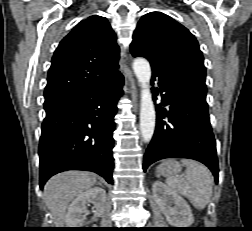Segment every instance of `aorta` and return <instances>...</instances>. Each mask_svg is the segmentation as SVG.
Instances as JSON below:
<instances>
[{"label": "aorta", "instance_id": "762f6f07", "mask_svg": "<svg viewBox=\"0 0 252 231\" xmlns=\"http://www.w3.org/2000/svg\"><path fill=\"white\" fill-rule=\"evenodd\" d=\"M133 70L141 84L140 131L144 142H149L154 134L156 112L149 87L151 67L144 58H137L133 62Z\"/></svg>", "mask_w": 252, "mask_h": 231}]
</instances>
